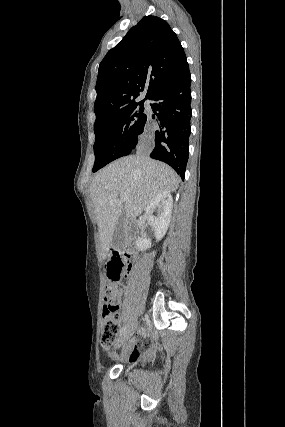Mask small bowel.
Listing matches in <instances>:
<instances>
[{
    "mask_svg": "<svg viewBox=\"0 0 285 427\" xmlns=\"http://www.w3.org/2000/svg\"><path fill=\"white\" fill-rule=\"evenodd\" d=\"M151 339L145 333H141L139 339L133 344L132 361L136 362L139 356L151 358L154 354L153 351H149Z\"/></svg>",
    "mask_w": 285,
    "mask_h": 427,
    "instance_id": "c3829d8e",
    "label": "small bowel"
}]
</instances>
